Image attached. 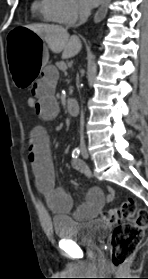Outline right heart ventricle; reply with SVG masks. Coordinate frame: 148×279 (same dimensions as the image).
Masks as SVG:
<instances>
[{
    "mask_svg": "<svg viewBox=\"0 0 148 279\" xmlns=\"http://www.w3.org/2000/svg\"><path fill=\"white\" fill-rule=\"evenodd\" d=\"M33 10L47 22L61 23L55 9L53 0H34Z\"/></svg>",
    "mask_w": 148,
    "mask_h": 279,
    "instance_id": "right-heart-ventricle-1",
    "label": "right heart ventricle"
}]
</instances>
